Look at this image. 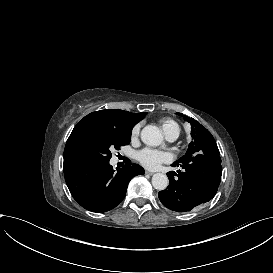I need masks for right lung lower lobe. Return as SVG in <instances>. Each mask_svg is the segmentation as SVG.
Wrapping results in <instances>:
<instances>
[{"instance_id":"obj_1","label":"right lung lower lobe","mask_w":273,"mask_h":273,"mask_svg":"<svg viewBox=\"0 0 273 273\" xmlns=\"http://www.w3.org/2000/svg\"><path fill=\"white\" fill-rule=\"evenodd\" d=\"M144 174L137 164H126L114 173L109 162L81 166L65 175L73 198L83 208L103 213L115 208L125 197L129 181Z\"/></svg>"}]
</instances>
